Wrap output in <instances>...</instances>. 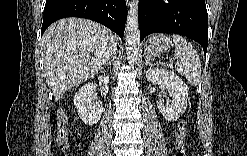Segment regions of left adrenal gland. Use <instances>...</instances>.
<instances>
[{"mask_svg":"<svg viewBox=\"0 0 247 156\" xmlns=\"http://www.w3.org/2000/svg\"><path fill=\"white\" fill-rule=\"evenodd\" d=\"M148 64H150V58L149 56L145 57V65L147 66Z\"/></svg>","mask_w":247,"mask_h":156,"instance_id":"left-adrenal-gland-1","label":"left adrenal gland"}]
</instances>
